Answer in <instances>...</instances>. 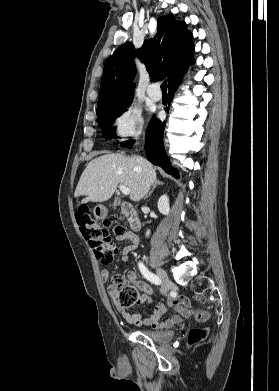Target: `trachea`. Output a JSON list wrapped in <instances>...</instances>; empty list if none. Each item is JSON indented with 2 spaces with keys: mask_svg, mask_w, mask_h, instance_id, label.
Listing matches in <instances>:
<instances>
[{
  "mask_svg": "<svg viewBox=\"0 0 279 391\" xmlns=\"http://www.w3.org/2000/svg\"><path fill=\"white\" fill-rule=\"evenodd\" d=\"M161 90H162L163 92H166V91H167V81H166V80L161 84Z\"/></svg>",
  "mask_w": 279,
  "mask_h": 391,
  "instance_id": "1",
  "label": "trachea"
}]
</instances>
